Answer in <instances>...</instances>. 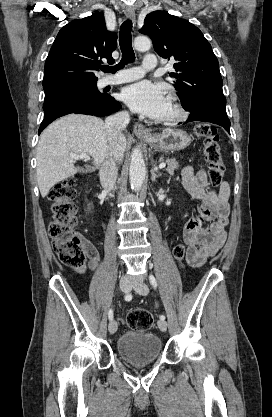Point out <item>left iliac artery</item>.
<instances>
[{
    "mask_svg": "<svg viewBox=\"0 0 272 417\" xmlns=\"http://www.w3.org/2000/svg\"><path fill=\"white\" fill-rule=\"evenodd\" d=\"M149 280H150V283H151L152 287L154 289H156L157 288V281H156L155 277L153 275H150L149 276ZM160 319L161 320H165V316L164 315H161L160 316Z\"/></svg>",
    "mask_w": 272,
    "mask_h": 417,
    "instance_id": "left-iliac-artery-1",
    "label": "left iliac artery"
}]
</instances>
